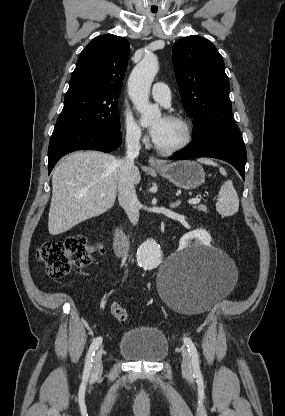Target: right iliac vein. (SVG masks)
I'll return each mask as SVG.
<instances>
[{
    "label": "right iliac vein",
    "mask_w": 285,
    "mask_h": 416,
    "mask_svg": "<svg viewBox=\"0 0 285 416\" xmlns=\"http://www.w3.org/2000/svg\"><path fill=\"white\" fill-rule=\"evenodd\" d=\"M103 353H104V347H101L94 356L93 367H92L93 376H98L103 369V364H102Z\"/></svg>",
    "instance_id": "right-iliac-vein-1"
}]
</instances>
